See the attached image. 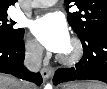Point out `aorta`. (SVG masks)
I'll return each instance as SVG.
<instances>
[{
	"label": "aorta",
	"instance_id": "obj_1",
	"mask_svg": "<svg viewBox=\"0 0 107 89\" xmlns=\"http://www.w3.org/2000/svg\"><path fill=\"white\" fill-rule=\"evenodd\" d=\"M44 89H52V85L51 84H47Z\"/></svg>",
	"mask_w": 107,
	"mask_h": 89
}]
</instances>
